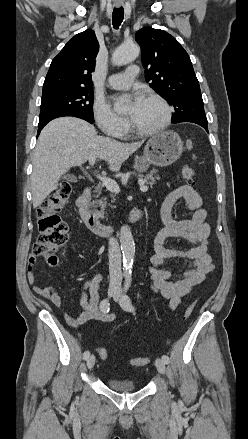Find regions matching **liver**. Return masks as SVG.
<instances>
[{
	"label": "liver",
	"instance_id": "1",
	"mask_svg": "<svg viewBox=\"0 0 248 439\" xmlns=\"http://www.w3.org/2000/svg\"><path fill=\"white\" fill-rule=\"evenodd\" d=\"M142 144V141L121 143L98 136L96 129L82 119L60 117L52 120L41 131L33 153V207L40 206L57 189L61 176L71 167L100 158L108 162L111 171H118Z\"/></svg>",
	"mask_w": 248,
	"mask_h": 439
}]
</instances>
